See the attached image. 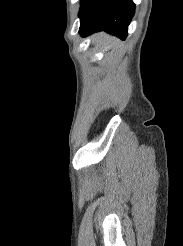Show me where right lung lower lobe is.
I'll list each match as a JSON object with an SVG mask.
<instances>
[{
  "instance_id": "1",
  "label": "right lung lower lobe",
  "mask_w": 183,
  "mask_h": 246,
  "mask_svg": "<svg viewBox=\"0 0 183 246\" xmlns=\"http://www.w3.org/2000/svg\"><path fill=\"white\" fill-rule=\"evenodd\" d=\"M135 13L132 0H82L79 12L82 36L106 31L125 39Z\"/></svg>"
}]
</instances>
